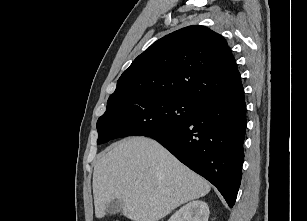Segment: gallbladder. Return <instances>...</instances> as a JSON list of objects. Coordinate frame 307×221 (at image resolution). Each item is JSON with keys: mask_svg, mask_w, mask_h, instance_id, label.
I'll list each match as a JSON object with an SVG mask.
<instances>
[{"mask_svg": "<svg viewBox=\"0 0 307 221\" xmlns=\"http://www.w3.org/2000/svg\"><path fill=\"white\" fill-rule=\"evenodd\" d=\"M121 209H122V201L117 199L109 202L106 205V212L111 215L119 213Z\"/></svg>", "mask_w": 307, "mask_h": 221, "instance_id": "obj_1", "label": "gallbladder"}]
</instances>
